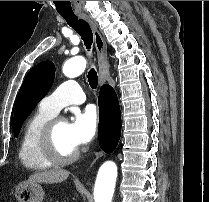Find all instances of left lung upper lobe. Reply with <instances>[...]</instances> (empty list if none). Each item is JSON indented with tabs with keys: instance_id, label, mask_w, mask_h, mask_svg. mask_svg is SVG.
<instances>
[{
	"instance_id": "1",
	"label": "left lung upper lobe",
	"mask_w": 209,
	"mask_h": 202,
	"mask_svg": "<svg viewBox=\"0 0 209 202\" xmlns=\"http://www.w3.org/2000/svg\"><path fill=\"white\" fill-rule=\"evenodd\" d=\"M54 77L55 65L51 61L35 65L26 75L20 87L14 110L13 130L16 137L25 119L50 90Z\"/></svg>"
}]
</instances>
